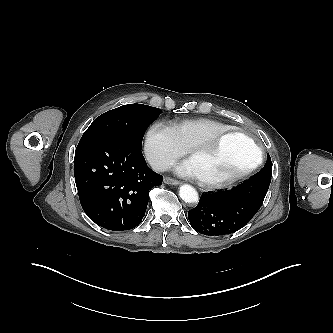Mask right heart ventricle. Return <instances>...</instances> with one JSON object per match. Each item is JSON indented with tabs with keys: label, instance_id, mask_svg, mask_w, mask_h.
<instances>
[{
	"label": "right heart ventricle",
	"instance_id": "e07e8e85",
	"mask_svg": "<svg viewBox=\"0 0 333 333\" xmlns=\"http://www.w3.org/2000/svg\"><path fill=\"white\" fill-rule=\"evenodd\" d=\"M232 128L230 125L210 118L184 119L171 126L179 142L188 150L197 142Z\"/></svg>",
	"mask_w": 333,
	"mask_h": 333
}]
</instances>
